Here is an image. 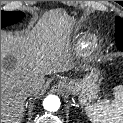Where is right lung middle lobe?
<instances>
[{
	"instance_id": "obj_1",
	"label": "right lung middle lobe",
	"mask_w": 123,
	"mask_h": 123,
	"mask_svg": "<svg viewBox=\"0 0 123 123\" xmlns=\"http://www.w3.org/2000/svg\"><path fill=\"white\" fill-rule=\"evenodd\" d=\"M23 17L24 13H22L21 11H1V28L15 24L19 22Z\"/></svg>"
}]
</instances>
